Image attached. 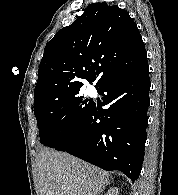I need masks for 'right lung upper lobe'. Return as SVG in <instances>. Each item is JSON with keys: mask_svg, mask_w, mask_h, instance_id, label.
<instances>
[{"mask_svg": "<svg viewBox=\"0 0 178 195\" xmlns=\"http://www.w3.org/2000/svg\"><path fill=\"white\" fill-rule=\"evenodd\" d=\"M145 61L142 37L128 12L117 5L90 4L46 44L34 90V108L79 92L83 80L91 82L100 76L98 88Z\"/></svg>", "mask_w": 178, "mask_h": 195, "instance_id": "1", "label": "right lung upper lobe"}]
</instances>
